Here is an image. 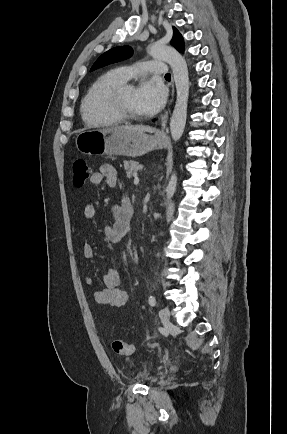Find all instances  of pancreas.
I'll return each mask as SVG.
<instances>
[{
	"label": "pancreas",
	"mask_w": 287,
	"mask_h": 434,
	"mask_svg": "<svg viewBox=\"0 0 287 434\" xmlns=\"http://www.w3.org/2000/svg\"><path fill=\"white\" fill-rule=\"evenodd\" d=\"M143 168L139 162L136 161H124V169L126 170L127 177L130 178L137 174Z\"/></svg>",
	"instance_id": "pancreas-1"
}]
</instances>
